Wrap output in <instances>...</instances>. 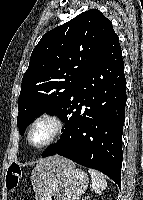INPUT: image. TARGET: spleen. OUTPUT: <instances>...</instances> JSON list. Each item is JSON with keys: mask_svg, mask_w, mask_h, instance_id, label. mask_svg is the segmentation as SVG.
Masks as SVG:
<instances>
[{"mask_svg": "<svg viewBox=\"0 0 143 200\" xmlns=\"http://www.w3.org/2000/svg\"><path fill=\"white\" fill-rule=\"evenodd\" d=\"M88 172L91 175L92 188L95 193L99 194L107 187V182L105 177L98 171L94 169H89Z\"/></svg>", "mask_w": 143, "mask_h": 200, "instance_id": "1", "label": "spleen"}]
</instances>
